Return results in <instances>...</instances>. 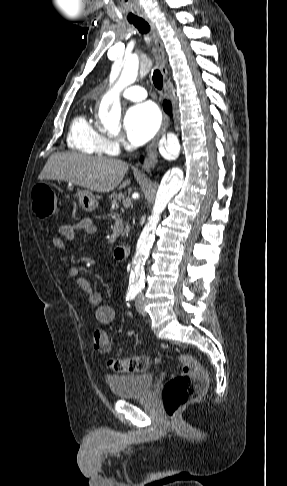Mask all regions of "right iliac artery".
Masks as SVG:
<instances>
[{"label": "right iliac artery", "instance_id": "1", "mask_svg": "<svg viewBox=\"0 0 287 486\" xmlns=\"http://www.w3.org/2000/svg\"><path fill=\"white\" fill-rule=\"evenodd\" d=\"M139 291H141V289L138 287H130L126 299H133L139 293Z\"/></svg>", "mask_w": 287, "mask_h": 486}]
</instances>
